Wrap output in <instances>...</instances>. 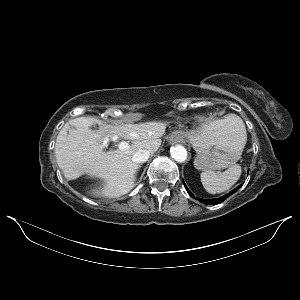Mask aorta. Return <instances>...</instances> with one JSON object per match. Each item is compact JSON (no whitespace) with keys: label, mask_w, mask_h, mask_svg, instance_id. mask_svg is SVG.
<instances>
[{"label":"aorta","mask_w":300,"mask_h":300,"mask_svg":"<svg viewBox=\"0 0 300 300\" xmlns=\"http://www.w3.org/2000/svg\"><path fill=\"white\" fill-rule=\"evenodd\" d=\"M170 155L175 161L182 163L187 159L188 154L184 146L175 145L170 149Z\"/></svg>","instance_id":"aorta-1"}]
</instances>
